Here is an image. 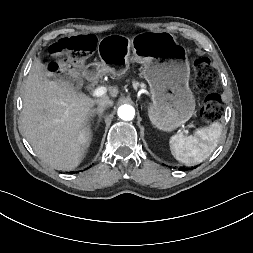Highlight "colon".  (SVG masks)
<instances>
[{
	"label": "colon",
	"instance_id": "obj_1",
	"mask_svg": "<svg viewBox=\"0 0 253 253\" xmlns=\"http://www.w3.org/2000/svg\"><path fill=\"white\" fill-rule=\"evenodd\" d=\"M95 39L92 36H76L60 40L52 47V53L57 58L52 69L58 70L60 63L65 69L73 64L82 63L94 50ZM196 74L197 86L207 93L202 108V117L207 122L218 121L223 113L220 96L214 92L218 76L210 67L207 58H196L192 61Z\"/></svg>",
	"mask_w": 253,
	"mask_h": 253
}]
</instances>
